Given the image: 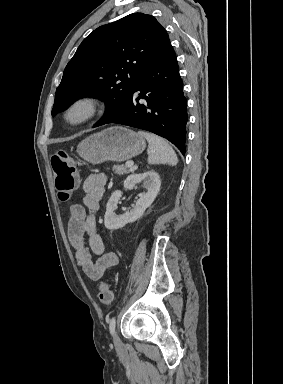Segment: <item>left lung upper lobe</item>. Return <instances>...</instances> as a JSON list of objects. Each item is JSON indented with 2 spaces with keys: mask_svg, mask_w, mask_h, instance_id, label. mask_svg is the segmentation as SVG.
Here are the masks:
<instances>
[{
  "mask_svg": "<svg viewBox=\"0 0 283 384\" xmlns=\"http://www.w3.org/2000/svg\"><path fill=\"white\" fill-rule=\"evenodd\" d=\"M169 43L166 30L148 14L133 13L98 27L67 64L52 115L90 96L106 102L105 114L94 127L109 120L127 105L136 82Z\"/></svg>",
  "mask_w": 283,
  "mask_h": 384,
  "instance_id": "obj_1",
  "label": "left lung upper lobe"
}]
</instances>
